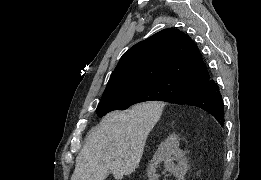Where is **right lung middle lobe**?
I'll return each mask as SVG.
<instances>
[{"label":"right lung middle lobe","instance_id":"dd1d6c3e","mask_svg":"<svg viewBox=\"0 0 261 180\" xmlns=\"http://www.w3.org/2000/svg\"><path fill=\"white\" fill-rule=\"evenodd\" d=\"M200 83L171 79L143 84L130 85L103 94L96 109L98 116L103 117L110 111L125 110L131 105L144 101H168L176 96L192 92Z\"/></svg>","mask_w":261,"mask_h":180}]
</instances>
